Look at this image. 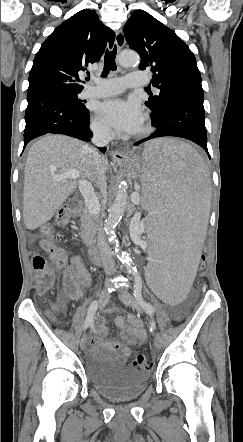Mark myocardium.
<instances>
[{"label":"myocardium","instance_id":"f54148a6","mask_svg":"<svg viewBox=\"0 0 243 442\" xmlns=\"http://www.w3.org/2000/svg\"><path fill=\"white\" fill-rule=\"evenodd\" d=\"M152 127H151V121L148 115H145L143 118L142 127L135 132V137H144L147 134L150 133Z\"/></svg>","mask_w":243,"mask_h":442}]
</instances>
